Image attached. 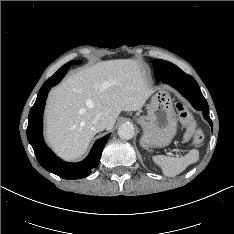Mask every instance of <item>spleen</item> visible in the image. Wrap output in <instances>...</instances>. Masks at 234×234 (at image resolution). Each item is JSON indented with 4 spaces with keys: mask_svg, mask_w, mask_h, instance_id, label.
Wrapping results in <instances>:
<instances>
[{
    "mask_svg": "<svg viewBox=\"0 0 234 234\" xmlns=\"http://www.w3.org/2000/svg\"><path fill=\"white\" fill-rule=\"evenodd\" d=\"M152 159L154 163L162 169L165 176L174 177L183 172L188 165L197 162L199 159V152L193 149L183 157L157 155L153 156Z\"/></svg>",
    "mask_w": 234,
    "mask_h": 234,
    "instance_id": "obj_1",
    "label": "spleen"
}]
</instances>
